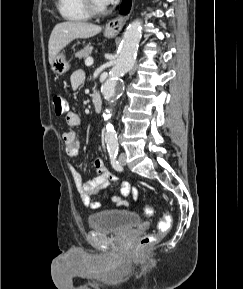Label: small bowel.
I'll return each mask as SVG.
<instances>
[{
  "mask_svg": "<svg viewBox=\"0 0 243 289\" xmlns=\"http://www.w3.org/2000/svg\"><path fill=\"white\" fill-rule=\"evenodd\" d=\"M85 74L82 70L75 71L70 78V85L73 90L78 89L84 82ZM66 123L71 128L78 127L81 124V117L75 111H69L66 114ZM62 141L64 143L65 154L69 159L75 158L80 151V142L76 136L75 131L68 130L62 134ZM94 168L97 172V176L88 182H81L78 178L77 171L72 168V174L76 181V187L80 194V197L87 208L98 209L102 204L93 200V196L106 190L111 182L118 181V177L109 171L103 160L100 157H96L93 162ZM121 195L117 196L110 194V199L118 206H128L126 197L132 193L134 198L137 197V190L131 186L127 181L120 182Z\"/></svg>",
  "mask_w": 243,
  "mask_h": 289,
  "instance_id": "1",
  "label": "small bowel"
}]
</instances>
